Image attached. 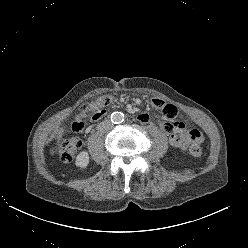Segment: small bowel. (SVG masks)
I'll list each match as a JSON object with an SVG mask.
<instances>
[{
	"instance_id": "small-bowel-1",
	"label": "small bowel",
	"mask_w": 248,
	"mask_h": 248,
	"mask_svg": "<svg viewBox=\"0 0 248 248\" xmlns=\"http://www.w3.org/2000/svg\"><path fill=\"white\" fill-rule=\"evenodd\" d=\"M151 104L153 108H159L162 113L161 117L158 118V115H155V112H152V109H149V112H152V115H155V118H158V127L169 134V142L171 146L182 150L186 149L192 142L191 131L186 130L185 124L181 120L176 121L173 124L170 123L178 118L177 105L164 101L161 96L153 97ZM108 111V107L100 109L96 113L94 120L100 119ZM139 120L142 123H146L150 120V116L146 113L140 114Z\"/></svg>"
}]
</instances>
